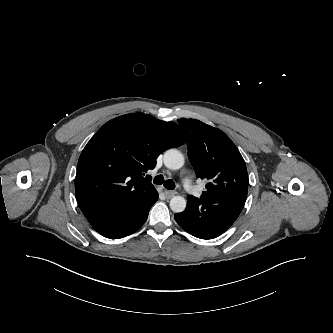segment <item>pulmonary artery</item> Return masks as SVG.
<instances>
[{
  "label": "pulmonary artery",
  "mask_w": 333,
  "mask_h": 333,
  "mask_svg": "<svg viewBox=\"0 0 333 333\" xmlns=\"http://www.w3.org/2000/svg\"><path fill=\"white\" fill-rule=\"evenodd\" d=\"M183 184L186 191L190 193L196 192V187L192 184V181L189 177L184 178Z\"/></svg>",
  "instance_id": "obj_1"
}]
</instances>
